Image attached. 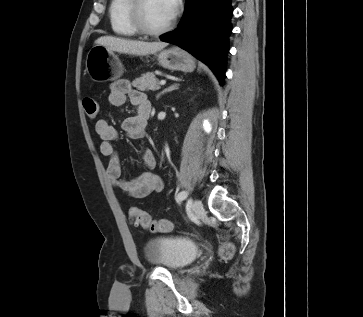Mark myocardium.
I'll return each mask as SVG.
<instances>
[{"label":"myocardium","instance_id":"f54148a6","mask_svg":"<svg viewBox=\"0 0 363 317\" xmlns=\"http://www.w3.org/2000/svg\"><path fill=\"white\" fill-rule=\"evenodd\" d=\"M145 0H130L128 6V20L137 33L147 37H157L167 33L173 26L175 14L169 22L159 29H151L147 27L142 18V9Z\"/></svg>","mask_w":363,"mask_h":317}]
</instances>
